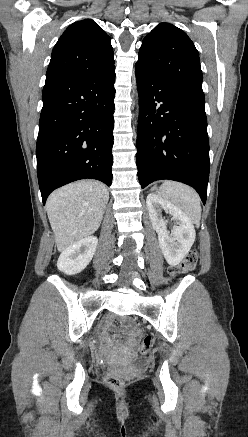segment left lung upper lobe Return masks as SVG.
Here are the masks:
<instances>
[{
  "mask_svg": "<svg viewBox=\"0 0 248 437\" xmlns=\"http://www.w3.org/2000/svg\"><path fill=\"white\" fill-rule=\"evenodd\" d=\"M135 70L202 91L199 53L191 39L169 23L156 26L143 40Z\"/></svg>",
  "mask_w": 248,
  "mask_h": 437,
  "instance_id": "obj_1",
  "label": "left lung upper lobe"
}]
</instances>
